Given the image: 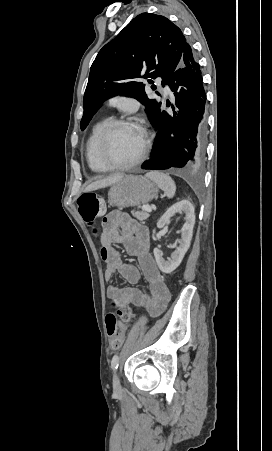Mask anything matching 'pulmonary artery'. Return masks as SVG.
Returning <instances> with one entry per match:
<instances>
[{
  "instance_id": "1",
  "label": "pulmonary artery",
  "mask_w": 272,
  "mask_h": 451,
  "mask_svg": "<svg viewBox=\"0 0 272 451\" xmlns=\"http://www.w3.org/2000/svg\"><path fill=\"white\" fill-rule=\"evenodd\" d=\"M165 88V91H164V98H165V100H167V101H170V100H172V98H173V91H172V89H170L167 85L164 87Z\"/></svg>"
}]
</instances>
